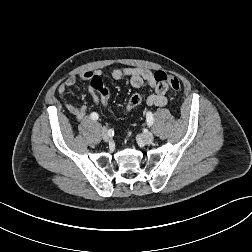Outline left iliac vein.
<instances>
[{
  "instance_id": "4c4485c4",
  "label": "left iliac vein",
  "mask_w": 252,
  "mask_h": 252,
  "mask_svg": "<svg viewBox=\"0 0 252 252\" xmlns=\"http://www.w3.org/2000/svg\"><path fill=\"white\" fill-rule=\"evenodd\" d=\"M137 139L143 144H151L154 140V135L152 132H146L139 135Z\"/></svg>"
}]
</instances>
